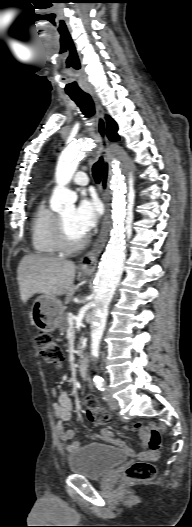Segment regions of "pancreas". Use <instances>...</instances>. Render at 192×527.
Listing matches in <instances>:
<instances>
[{
    "instance_id": "cf45deb5",
    "label": "pancreas",
    "mask_w": 192,
    "mask_h": 527,
    "mask_svg": "<svg viewBox=\"0 0 192 527\" xmlns=\"http://www.w3.org/2000/svg\"><path fill=\"white\" fill-rule=\"evenodd\" d=\"M68 316L69 314H64L61 316L58 325L60 331H66L68 329Z\"/></svg>"
}]
</instances>
